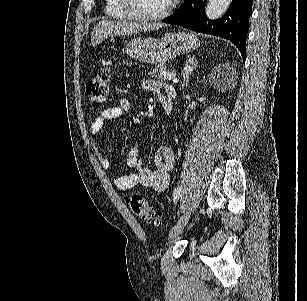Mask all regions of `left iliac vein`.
<instances>
[{"label": "left iliac vein", "mask_w": 307, "mask_h": 301, "mask_svg": "<svg viewBox=\"0 0 307 301\" xmlns=\"http://www.w3.org/2000/svg\"><path fill=\"white\" fill-rule=\"evenodd\" d=\"M192 211H194L193 208L185 211L181 217L179 218V220L176 222V224L173 226L171 232H170V239L173 240L175 238H177L183 231V229L185 228V226L187 225Z\"/></svg>", "instance_id": "obj_1"}]
</instances>
